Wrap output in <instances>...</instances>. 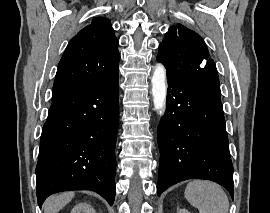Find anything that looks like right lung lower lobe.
Here are the masks:
<instances>
[{"instance_id": "obj_1", "label": "right lung lower lobe", "mask_w": 270, "mask_h": 213, "mask_svg": "<svg viewBox=\"0 0 270 213\" xmlns=\"http://www.w3.org/2000/svg\"><path fill=\"white\" fill-rule=\"evenodd\" d=\"M118 114V75L53 96L36 167L40 207L49 195L67 190H92L113 204Z\"/></svg>"}]
</instances>
